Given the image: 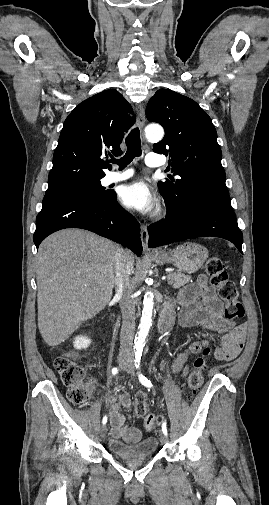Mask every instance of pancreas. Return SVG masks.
<instances>
[{
	"instance_id": "obj_1",
	"label": "pancreas",
	"mask_w": 269,
	"mask_h": 505,
	"mask_svg": "<svg viewBox=\"0 0 269 505\" xmlns=\"http://www.w3.org/2000/svg\"><path fill=\"white\" fill-rule=\"evenodd\" d=\"M167 278H168V283L172 284V287L174 289H178V288L184 286L191 279V277L188 275H185L182 273H173V272L169 273L167 275Z\"/></svg>"
}]
</instances>
